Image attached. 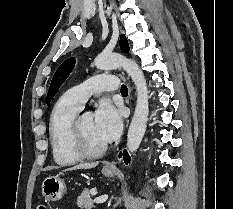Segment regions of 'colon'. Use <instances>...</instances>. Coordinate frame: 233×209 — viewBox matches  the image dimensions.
Masks as SVG:
<instances>
[{
	"label": "colon",
	"instance_id": "obj_1",
	"mask_svg": "<svg viewBox=\"0 0 233 209\" xmlns=\"http://www.w3.org/2000/svg\"><path fill=\"white\" fill-rule=\"evenodd\" d=\"M39 209H49L46 205L42 204L39 206Z\"/></svg>",
	"mask_w": 233,
	"mask_h": 209
}]
</instances>
